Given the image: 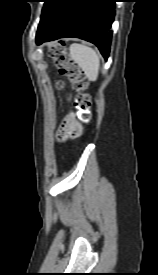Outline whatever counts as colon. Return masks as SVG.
Listing matches in <instances>:
<instances>
[{
	"label": "colon",
	"mask_w": 158,
	"mask_h": 275,
	"mask_svg": "<svg viewBox=\"0 0 158 275\" xmlns=\"http://www.w3.org/2000/svg\"><path fill=\"white\" fill-rule=\"evenodd\" d=\"M51 57L59 69V72L62 76L67 77L76 88L81 91L76 97L75 105L78 110L77 117L78 119L83 122H89L91 118V97L82 92L87 87V81L78 67V65L74 62L73 58L67 51L65 45L59 44L52 49ZM63 83H58V88H62Z\"/></svg>",
	"instance_id": "1"
}]
</instances>
